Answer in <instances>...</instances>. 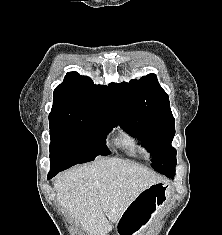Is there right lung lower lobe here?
<instances>
[{"mask_svg":"<svg viewBox=\"0 0 222 235\" xmlns=\"http://www.w3.org/2000/svg\"><path fill=\"white\" fill-rule=\"evenodd\" d=\"M56 174H57V173H49V174H48V179L54 177Z\"/></svg>","mask_w":222,"mask_h":235,"instance_id":"1","label":"right lung lower lobe"}]
</instances>
